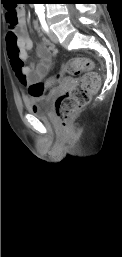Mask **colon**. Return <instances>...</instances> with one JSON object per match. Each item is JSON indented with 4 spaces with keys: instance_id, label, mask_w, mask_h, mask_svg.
Wrapping results in <instances>:
<instances>
[{
    "instance_id": "5ec220e1",
    "label": "colon",
    "mask_w": 122,
    "mask_h": 257,
    "mask_svg": "<svg viewBox=\"0 0 122 257\" xmlns=\"http://www.w3.org/2000/svg\"><path fill=\"white\" fill-rule=\"evenodd\" d=\"M3 10H9L7 21L14 26L18 20V5H3ZM13 40V39H11ZM12 65V64H11ZM93 62L85 57H75L63 64L60 70H55L49 79H39L38 82L28 83L27 94L29 98H47L51 90H61L67 73L79 75L83 71L86 74L79 84L71 87L55 101V113L63 126H67L71 118L90 101L91 94L96 92L100 86V77L92 71Z\"/></svg>"
}]
</instances>
